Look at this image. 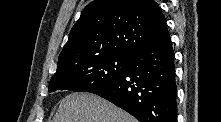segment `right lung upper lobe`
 <instances>
[{
    "instance_id": "cb5924a9",
    "label": "right lung upper lobe",
    "mask_w": 221,
    "mask_h": 122,
    "mask_svg": "<svg viewBox=\"0 0 221 122\" xmlns=\"http://www.w3.org/2000/svg\"><path fill=\"white\" fill-rule=\"evenodd\" d=\"M166 28L165 17L153 0H95L72 27L54 75L97 57H132Z\"/></svg>"
}]
</instances>
